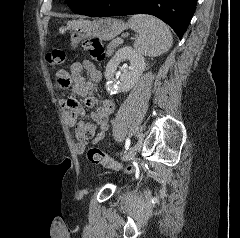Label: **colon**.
Wrapping results in <instances>:
<instances>
[{
	"label": "colon",
	"mask_w": 240,
	"mask_h": 238,
	"mask_svg": "<svg viewBox=\"0 0 240 238\" xmlns=\"http://www.w3.org/2000/svg\"><path fill=\"white\" fill-rule=\"evenodd\" d=\"M83 48L94 59L102 60L105 57V49L102 42L97 38H90L84 41ZM66 59L65 52L61 49H53L46 55V60L50 65L62 64ZM87 158L90 162L100 164L107 168L132 172L131 167H124L113 158L106 155L102 150L92 147L87 151Z\"/></svg>",
	"instance_id": "colon-1"
}]
</instances>
